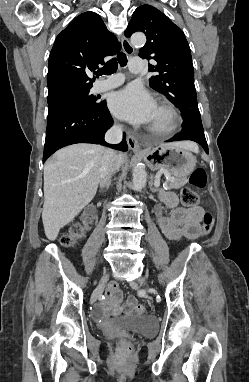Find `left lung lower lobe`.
Returning a JSON list of instances; mask_svg holds the SVG:
<instances>
[{"label":"left lung lower lobe","mask_w":249,"mask_h":382,"mask_svg":"<svg viewBox=\"0 0 249 382\" xmlns=\"http://www.w3.org/2000/svg\"><path fill=\"white\" fill-rule=\"evenodd\" d=\"M180 140H192L199 143L206 153H208V146L204 135V130L201 121H184L182 131L167 140V142L180 141Z\"/></svg>","instance_id":"1"}]
</instances>
